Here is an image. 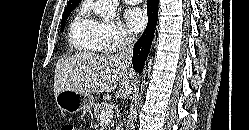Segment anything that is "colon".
Masks as SVG:
<instances>
[{"mask_svg":"<svg viewBox=\"0 0 249 130\" xmlns=\"http://www.w3.org/2000/svg\"><path fill=\"white\" fill-rule=\"evenodd\" d=\"M61 130H77L75 126L72 123H65L62 127Z\"/></svg>","mask_w":249,"mask_h":130,"instance_id":"obj_1","label":"colon"}]
</instances>
